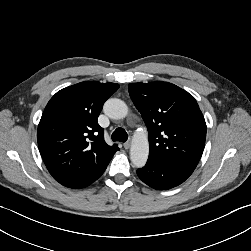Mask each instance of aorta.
Listing matches in <instances>:
<instances>
[{
  "instance_id": "762f6f07",
  "label": "aorta",
  "mask_w": 251,
  "mask_h": 251,
  "mask_svg": "<svg viewBox=\"0 0 251 251\" xmlns=\"http://www.w3.org/2000/svg\"><path fill=\"white\" fill-rule=\"evenodd\" d=\"M104 113L112 119H123L128 114L126 103L117 98L108 99L103 107ZM149 155V142L146 130L137 131L134 135L130 148V159L132 164L137 167H143Z\"/></svg>"
}]
</instances>
